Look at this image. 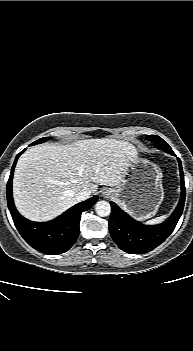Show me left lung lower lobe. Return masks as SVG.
Segmentation results:
<instances>
[{
	"label": "left lung lower lobe",
	"mask_w": 193,
	"mask_h": 351,
	"mask_svg": "<svg viewBox=\"0 0 193 351\" xmlns=\"http://www.w3.org/2000/svg\"><path fill=\"white\" fill-rule=\"evenodd\" d=\"M171 155H175L174 152ZM181 177V198L172 215L162 224L148 226L132 219L115 203L111 204L109 231L111 237L124 252L130 254L147 253L159 246L174 230L184 208L185 184L181 161L178 159Z\"/></svg>",
	"instance_id": "left-lung-lower-lobe-1"
}]
</instances>
